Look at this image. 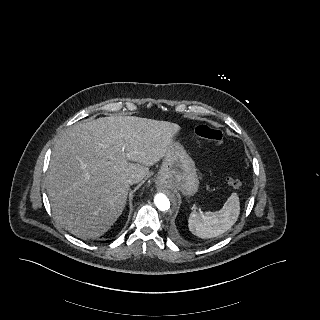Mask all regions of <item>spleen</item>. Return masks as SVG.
Instances as JSON below:
<instances>
[{
  "mask_svg": "<svg viewBox=\"0 0 320 320\" xmlns=\"http://www.w3.org/2000/svg\"><path fill=\"white\" fill-rule=\"evenodd\" d=\"M239 213V197L237 193H232L219 211H207L204 214L191 212L188 218L189 230L201 238L219 236L236 223Z\"/></svg>",
  "mask_w": 320,
  "mask_h": 320,
  "instance_id": "spleen-1",
  "label": "spleen"
}]
</instances>
